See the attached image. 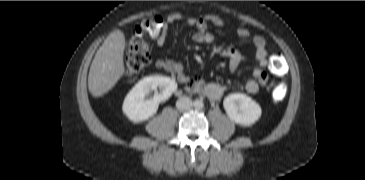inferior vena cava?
<instances>
[{
	"label": "inferior vena cava",
	"mask_w": 365,
	"mask_h": 180,
	"mask_svg": "<svg viewBox=\"0 0 365 180\" xmlns=\"http://www.w3.org/2000/svg\"><path fill=\"white\" fill-rule=\"evenodd\" d=\"M192 105V100L188 97H181L176 102V107L180 111L188 110L192 107Z\"/></svg>",
	"instance_id": "inferior-vena-cava-1"
}]
</instances>
